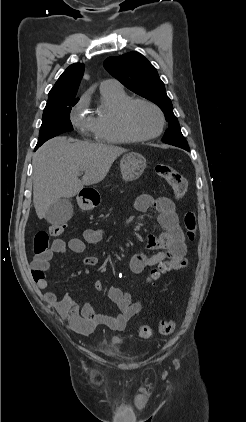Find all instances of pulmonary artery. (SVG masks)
I'll return each instance as SVG.
<instances>
[{
    "mask_svg": "<svg viewBox=\"0 0 246 422\" xmlns=\"http://www.w3.org/2000/svg\"><path fill=\"white\" fill-rule=\"evenodd\" d=\"M100 87H101V89H104V88L121 87V86L117 81L112 80V79H108V80H104L101 83Z\"/></svg>",
    "mask_w": 246,
    "mask_h": 422,
    "instance_id": "1",
    "label": "pulmonary artery"
}]
</instances>
